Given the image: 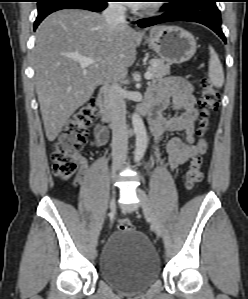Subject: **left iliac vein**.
Returning a JSON list of instances; mask_svg holds the SVG:
<instances>
[{
	"mask_svg": "<svg viewBox=\"0 0 248 299\" xmlns=\"http://www.w3.org/2000/svg\"><path fill=\"white\" fill-rule=\"evenodd\" d=\"M136 195H137V197L139 199L140 206L142 207V209L144 210V212L148 215L154 231L156 232V234L158 236H161L162 235L161 223H160V220H159L157 214L155 213V211L153 209V206H152V204H151L148 196L139 187L136 188Z\"/></svg>",
	"mask_w": 248,
	"mask_h": 299,
	"instance_id": "1",
	"label": "left iliac vein"
}]
</instances>
